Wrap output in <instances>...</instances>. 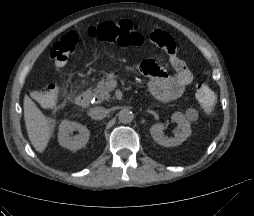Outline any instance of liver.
Wrapping results in <instances>:
<instances>
[{
	"instance_id": "1",
	"label": "liver",
	"mask_w": 254,
	"mask_h": 216,
	"mask_svg": "<svg viewBox=\"0 0 254 216\" xmlns=\"http://www.w3.org/2000/svg\"><path fill=\"white\" fill-rule=\"evenodd\" d=\"M24 120L31 144L43 153L51 138L53 121L47 118L29 96L24 97Z\"/></svg>"
}]
</instances>
